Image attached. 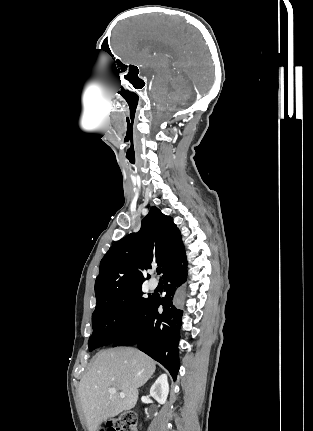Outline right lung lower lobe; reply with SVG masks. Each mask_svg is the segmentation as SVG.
<instances>
[{"instance_id": "obj_1", "label": "right lung lower lobe", "mask_w": 313, "mask_h": 431, "mask_svg": "<svg viewBox=\"0 0 313 431\" xmlns=\"http://www.w3.org/2000/svg\"><path fill=\"white\" fill-rule=\"evenodd\" d=\"M187 279V260L183 249L163 275L166 295L162 299L151 296V300L137 322L112 346L137 345L154 360L161 363L175 380L180 367L178 357L179 332L183 311L175 305L178 288ZM159 305L163 313H158Z\"/></svg>"}]
</instances>
